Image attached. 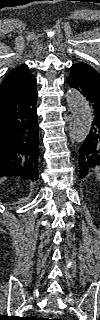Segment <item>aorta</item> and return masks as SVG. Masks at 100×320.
Here are the masks:
<instances>
[{
	"mask_svg": "<svg viewBox=\"0 0 100 320\" xmlns=\"http://www.w3.org/2000/svg\"><path fill=\"white\" fill-rule=\"evenodd\" d=\"M65 97L73 117L72 140L82 143L90 132L91 109L86 99L76 89H68Z\"/></svg>",
	"mask_w": 100,
	"mask_h": 320,
	"instance_id": "obj_1",
	"label": "aorta"
}]
</instances>
